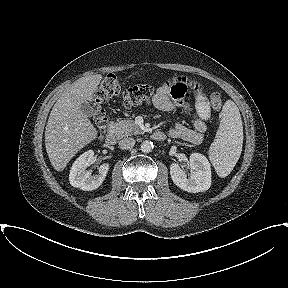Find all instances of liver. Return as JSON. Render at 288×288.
<instances>
[{
	"mask_svg": "<svg viewBox=\"0 0 288 288\" xmlns=\"http://www.w3.org/2000/svg\"><path fill=\"white\" fill-rule=\"evenodd\" d=\"M101 80L100 74L78 79L61 94L51 110L45 147L56 171H63L78 151L97 138V130L81 106L92 100Z\"/></svg>",
	"mask_w": 288,
	"mask_h": 288,
	"instance_id": "obj_1",
	"label": "liver"
}]
</instances>
